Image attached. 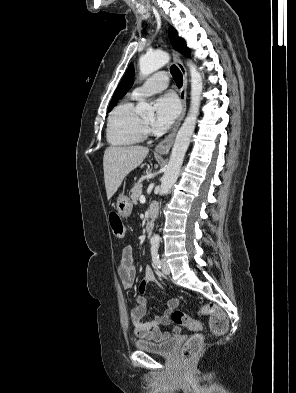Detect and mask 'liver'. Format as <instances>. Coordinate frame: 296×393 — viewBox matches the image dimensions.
Masks as SVG:
<instances>
[{
	"mask_svg": "<svg viewBox=\"0 0 296 393\" xmlns=\"http://www.w3.org/2000/svg\"><path fill=\"white\" fill-rule=\"evenodd\" d=\"M149 152L147 147H108L104 152L103 169L107 199L121 186L124 178L136 169Z\"/></svg>",
	"mask_w": 296,
	"mask_h": 393,
	"instance_id": "obj_1",
	"label": "liver"
}]
</instances>
